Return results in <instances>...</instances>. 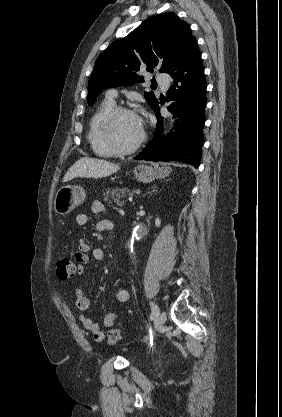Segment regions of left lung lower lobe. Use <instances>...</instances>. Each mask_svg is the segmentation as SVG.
I'll return each mask as SVG.
<instances>
[{"instance_id": "left-lung-lower-lobe-1", "label": "left lung lower lobe", "mask_w": 282, "mask_h": 417, "mask_svg": "<svg viewBox=\"0 0 282 417\" xmlns=\"http://www.w3.org/2000/svg\"><path fill=\"white\" fill-rule=\"evenodd\" d=\"M173 85L167 101H175L168 109L176 111L175 132L162 136V117L158 103L153 107L157 117L155 136L134 159L149 161H182L195 166L200 164L203 145L204 110L206 106V80L201 53L196 39L189 42L167 72Z\"/></svg>"}]
</instances>
